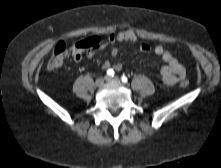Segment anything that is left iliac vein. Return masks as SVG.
<instances>
[{
  "instance_id": "left-iliac-vein-1",
  "label": "left iliac vein",
  "mask_w": 221,
  "mask_h": 168,
  "mask_svg": "<svg viewBox=\"0 0 221 168\" xmlns=\"http://www.w3.org/2000/svg\"><path fill=\"white\" fill-rule=\"evenodd\" d=\"M105 79L107 82H115V83L120 82V79L118 77H106Z\"/></svg>"
}]
</instances>
